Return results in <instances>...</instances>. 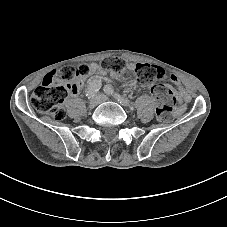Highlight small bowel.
<instances>
[{"instance_id": "obj_1", "label": "small bowel", "mask_w": 227, "mask_h": 227, "mask_svg": "<svg viewBox=\"0 0 227 227\" xmlns=\"http://www.w3.org/2000/svg\"><path fill=\"white\" fill-rule=\"evenodd\" d=\"M134 65L132 63H129V70L134 73L133 69H134ZM90 74L94 75V76H103L106 74V70L104 68H102L100 65L94 63L90 66ZM114 74V73H113ZM116 75V74H114ZM172 81L177 85V87L180 89V93H181V98L184 101H188L189 96L188 94L184 91L181 82L179 81V79L176 76H172ZM92 82V81H91ZM90 82V83H91ZM83 81L80 82L78 89L74 92L77 93V91L79 90V88L82 86Z\"/></svg>"}]
</instances>
